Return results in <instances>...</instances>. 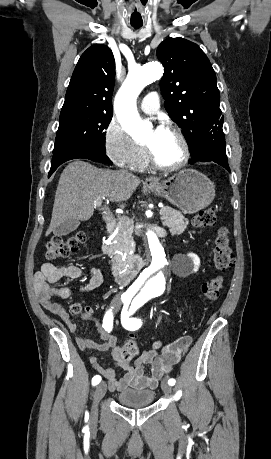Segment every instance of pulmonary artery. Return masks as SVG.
Instances as JSON below:
<instances>
[{
  "instance_id": "pulmonary-artery-1",
  "label": "pulmonary artery",
  "mask_w": 271,
  "mask_h": 459,
  "mask_svg": "<svg viewBox=\"0 0 271 459\" xmlns=\"http://www.w3.org/2000/svg\"><path fill=\"white\" fill-rule=\"evenodd\" d=\"M161 96L156 90H153L150 95H145L140 104V108L147 114H155L159 110Z\"/></svg>"
}]
</instances>
